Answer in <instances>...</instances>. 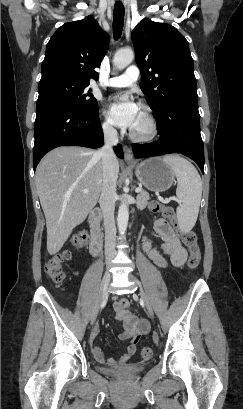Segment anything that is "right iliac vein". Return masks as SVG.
<instances>
[{"mask_svg":"<svg viewBox=\"0 0 243 409\" xmlns=\"http://www.w3.org/2000/svg\"><path fill=\"white\" fill-rule=\"evenodd\" d=\"M110 279H111L110 273L106 272L103 279H102L99 294H98V298H97V301H96V303L94 305V308H93V311H92L91 324H94V322L96 321V318L98 316V312H99V309H100V306H101V302H102V300L104 299V297L106 295Z\"/></svg>","mask_w":243,"mask_h":409,"instance_id":"right-iliac-vein-1","label":"right iliac vein"}]
</instances>
